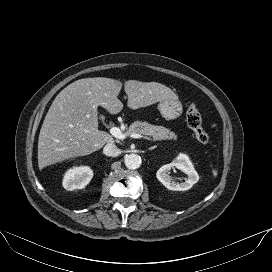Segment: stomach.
Wrapping results in <instances>:
<instances>
[{
	"label": "stomach",
	"mask_w": 272,
	"mask_h": 272,
	"mask_svg": "<svg viewBox=\"0 0 272 272\" xmlns=\"http://www.w3.org/2000/svg\"><path fill=\"white\" fill-rule=\"evenodd\" d=\"M158 109L166 120H174L182 114V104L178 99L160 101Z\"/></svg>",
	"instance_id": "stomach-1"
}]
</instances>
